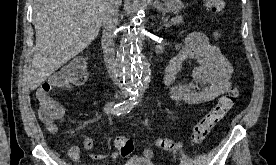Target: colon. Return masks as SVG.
I'll return each mask as SVG.
<instances>
[{
  "instance_id": "colon-1",
  "label": "colon",
  "mask_w": 276,
  "mask_h": 165,
  "mask_svg": "<svg viewBox=\"0 0 276 165\" xmlns=\"http://www.w3.org/2000/svg\"><path fill=\"white\" fill-rule=\"evenodd\" d=\"M204 3L206 9L211 13H222L225 9L224 0H204ZM86 77V61L79 58L66 64L37 90L36 99L39 104V117L46 125L55 128L64 120V110L54 98V91L58 88H68L72 84L82 83ZM238 95V89L232 88L219 98L217 104L193 127L190 134L192 144H199L207 137L211 130L233 108ZM114 144L116 153L120 157H128L133 152V141L127 136H118ZM157 144L163 149L178 151L177 144L170 139L161 138L157 141Z\"/></svg>"
}]
</instances>
